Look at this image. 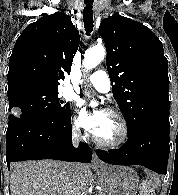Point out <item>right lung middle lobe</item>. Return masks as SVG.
I'll list each match as a JSON object with an SVG mask.
<instances>
[{
	"label": "right lung middle lobe",
	"mask_w": 178,
	"mask_h": 195,
	"mask_svg": "<svg viewBox=\"0 0 178 195\" xmlns=\"http://www.w3.org/2000/svg\"><path fill=\"white\" fill-rule=\"evenodd\" d=\"M58 90L29 89L8 96L9 110L18 114L59 116L69 113L70 104L58 97Z\"/></svg>",
	"instance_id": "dd1d6c3e"
}]
</instances>
